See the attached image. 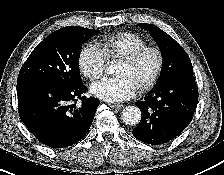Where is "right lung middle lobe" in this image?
Wrapping results in <instances>:
<instances>
[{"label":"right lung middle lobe","mask_w":224,"mask_h":175,"mask_svg":"<svg viewBox=\"0 0 224 175\" xmlns=\"http://www.w3.org/2000/svg\"><path fill=\"white\" fill-rule=\"evenodd\" d=\"M98 32L79 26H67L52 32L31 52L17 81L39 79L65 86L81 84V47Z\"/></svg>","instance_id":"dd1d6c3e"}]
</instances>
